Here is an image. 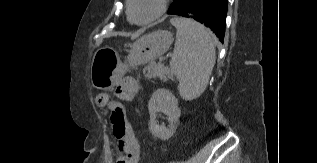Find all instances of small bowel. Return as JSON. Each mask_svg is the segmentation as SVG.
Masks as SVG:
<instances>
[{
    "mask_svg": "<svg viewBox=\"0 0 317 163\" xmlns=\"http://www.w3.org/2000/svg\"><path fill=\"white\" fill-rule=\"evenodd\" d=\"M115 92L118 98L125 101H131L138 93V84L133 78H121L115 85ZM113 135L117 141L118 156L114 161L112 152L110 150L107 151V163H138L140 157V146L132 127L130 125H126L123 133H117L113 129Z\"/></svg>",
    "mask_w": 317,
    "mask_h": 163,
    "instance_id": "small-bowel-1",
    "label": "small bowel"
}]
</instances>
